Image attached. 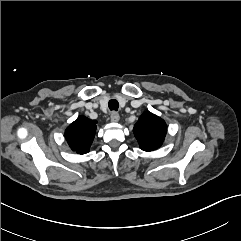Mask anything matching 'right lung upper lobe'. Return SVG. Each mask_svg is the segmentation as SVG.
<instances>
[{"instance_id": "1", "label": "right lung upper lobe", "mask_w": 241, "mask_h": 241, "mask_svg": "<svg viewBox=\"0 0 241 241\" xmlns=\"http://www.w3.org/2000/svg\"><path fill=\"white\" fill-rule=\"evenodd\" d=\"M96 128V120L79 116L65 130V137L70 148L78 154L89 152Z\"/></svg>"}]
</instances>
